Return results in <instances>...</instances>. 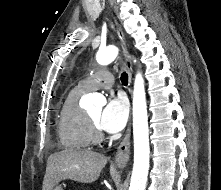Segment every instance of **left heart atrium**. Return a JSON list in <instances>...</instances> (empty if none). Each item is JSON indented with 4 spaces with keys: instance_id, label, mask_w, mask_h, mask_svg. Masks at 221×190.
Wrapping results in <instances>:
<instances>
[{
    "instance_id": "1",
    "label": "left heart atrium",
    "mask_w": 221,
    "mask_h": 190,
    "mask_svg": "<svg viewBox=\"0 0 221 190\" xmlns=\"http://www.w3.org/2000/svg\"><path fill=\"white\" fill-rule=\"evenodd\" d=\"M128 103L123 97L110 98L101 112L98 125L108 133H117L126 125Z\"/></svg>"
}]
</instances>
